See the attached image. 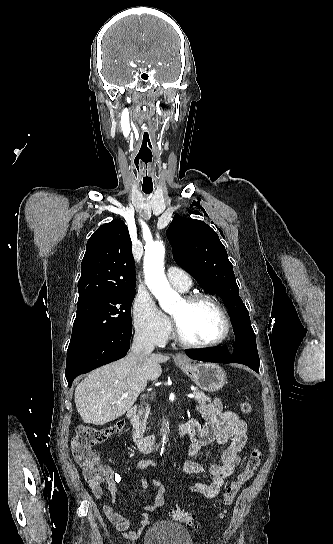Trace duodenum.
<instances>
[{
  "label": "duodenum",
  "instance_id": "duodenum-1",
  "mask_svg": "<svg viewBox=\"0 0 333 544\" xmlns=\"http://www.w3.org/2000/svg\"><path fill=\"white\" fill-rule=\"evenodd\" d=\"M137 406H132L127 411V419L131 425L132 431V440L137 450L142 454H148L153 451L158 450L161 447L162 441L155 435H144L142 431L137 426ZM185 434V429L181 424L178 425L176 429V436L178 438L182 437Z\"/></svg>",
  "mask_w": 333,
  "mask_h": 544
}]
</instances>
